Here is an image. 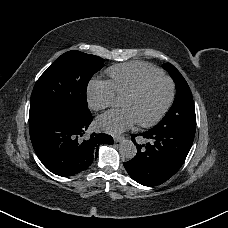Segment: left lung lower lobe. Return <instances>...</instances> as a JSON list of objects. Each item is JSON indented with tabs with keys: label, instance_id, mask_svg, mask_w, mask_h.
<instances>
[{
	"label": "left lung lower lobe",
	"instance_id": "1",
	"mask_svg": "<svg viewBox=\"0 0 228 228\" xmlns=\"http://www.w3.org/2000/svg\"><path fill=\"white\" fill-rule=\"evenodd\" d=\"M195 132L152 128L132 134L136 156L124 163L128 174L145 186H156L171 178L183 165L194 140ZM143 141L144 144H138Z\"/></svg>",
	"mask_w": 228,
	"mask_h": 228
}]
</instances>
